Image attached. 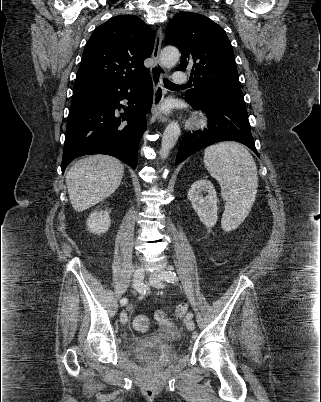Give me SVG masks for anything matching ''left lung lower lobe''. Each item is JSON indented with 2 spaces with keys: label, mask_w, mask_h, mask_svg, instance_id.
<instances>
[{
  "label": "left lung lower lobe",
  "mask_w": 321,
  "mask_h": 402,
  "mask_svg": "<svg viewBox=\"0 0 321 402\" xmlns=\"http://www.w3.org/2000/svg\"><path fill=\"white\" fill-rule=\"evenodd\" d=\"M190 105L208 117V129L186 133L178 150L176 165L196 151L221 141H237L249 147L258 157L251 135L248 113L242 91H215L200 102Z\"/></svg>",
  "instance_id": "obj_1"
}]
</instances>
